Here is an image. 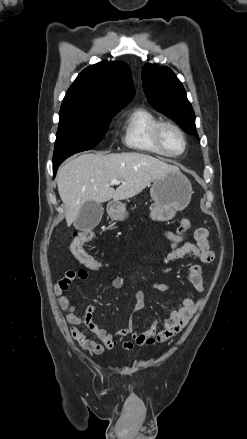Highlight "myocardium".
<instances>
[{"label": "myocardium", "instance_id": "1", "mask_svg": "<svg viewBox=\"0 0 247 439\" xmlns=\"http://www.w3.org/2000/svg\"><path fill=\"white\" fill-rule=\"evenodd\" d=\"M165 128H171V129L175 130L180 135V137L183 141V148L179 153H171L166 149V147L163 143V139H162V133H163V130ZM153 138H154L155 144L161 150V152L164 155L169 156V157H179V156L183 155L187 149V138L185 136V133L176 123H174L172 121H159L154 128Z\"/></svg>", "mask_w": 247, "mask_h": 439}]
</instances>
